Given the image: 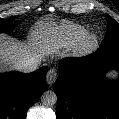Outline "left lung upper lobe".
I'll return each instance as SVG.
<instances>
[{
  "label": "left lung upper lobe",
  "instance_id": "5c2ea615",
  "mask_svg": "<svg viewBox=\"0 0 119 119\" xmlns=\"http://www.w3.org/2000/svg\"><path fill=\"white\" fill-rule=\"evenodd\" d=\"M107 32L99 49L107 54L119 52V24L106 14Z\"/></svg>",
  "mask_w": 119,
  "mask_h": 119
}]
</instances>
